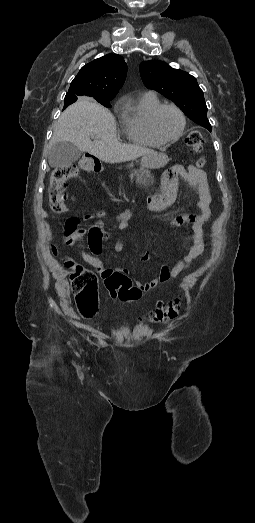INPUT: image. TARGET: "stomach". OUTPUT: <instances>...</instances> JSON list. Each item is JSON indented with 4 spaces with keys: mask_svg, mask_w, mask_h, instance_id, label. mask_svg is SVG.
Here are the masks:
<instances>
[{
    "mask_svg": "<svg viewBox=\"0 0 255 523\" xmlns=\"http://www.w3.org/2000/svg\"><path fill=\"white\" fill-rule=\"evenodd\" d=\"M169 163L168 155L165 151H147L141 160L142 168L166 167Z\"/></svg>",
    "mask_w": 255,
    "mask_h": 523,
    "instance_id": "obj_1",
    "label": "stomach"
}]
</instances>
